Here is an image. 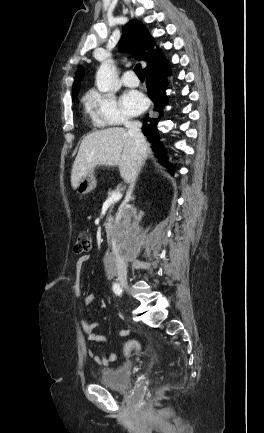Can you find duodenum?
I'll return each mask as SVG.
<instances>
[{
  "instance_id": "410a0bca",
  "label": "duodenum",
  "mask_w": 264,
  "mask_h": 433,
  "mask_svg": "<svg viewBox=\"0 0 264 433\" xmlns=\"http://www.w3.org/2000/svg\"><path fill=\"white\" fill-rule=\"evenodd\" d=\"M105 229H106V233H107L108 243L111 246V248L113 249V251H112V259H111V261L108 264V267H109L110 271L112 272V271H116L117 270L118 262L116 261V253L118 252V250L114 246L113 224L111 222H107L106 225H105Z\"/></svg>"
}]
</instances>
